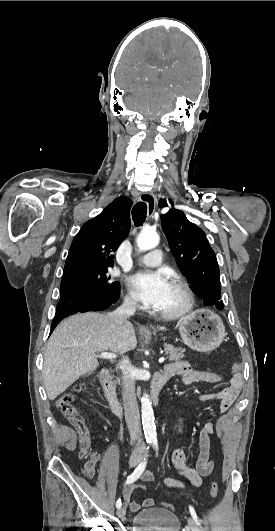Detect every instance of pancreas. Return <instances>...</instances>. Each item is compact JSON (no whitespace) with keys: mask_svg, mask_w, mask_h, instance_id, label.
Here are the masks:
<instances>
[{"mask_svg":"<svg viewBox=\"0 0 275 531\" xmlns=\"http://www.w3.org/2000/svg\"><path fill=\"white\" fill-rule=\"evenodd\" d=\"M164 351L166 355H169L167 357L168 361H180L184 357L183 353H185V349L173 347V345H167V343H164ZM116 383H119V379H117Z\"/></svg>","mask_w":275,"mask_h":531,"instance_id":"pancreas-1","label":"pancreas"}]
</instances>
